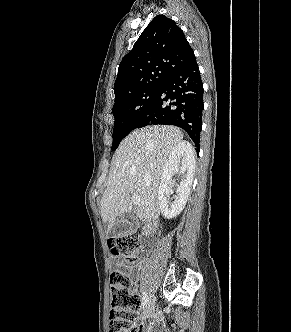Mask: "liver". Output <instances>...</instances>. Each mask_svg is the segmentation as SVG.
Here are the masks:
<instances>
[{
	"instance_id": "6515ba94",
	"label": "liver",
	"mask_w": 291,
	"mask_h": 332,
	"mask_svg": "<svg viewBox=\"0 0 291 332\" xmlns=\"http://www.w3.org/2000/svg\"><path fill=\"white\" fill-rule=\"evenodd\" d=\"M183 133L173 126H147L134 130L118 147L101 199V216L108 223L107 234L115 220L130 212L133 205L140 220L159 217L158 190L169 154L182 142ZM133 196L140 198L134 204Z\"/></svg>"
}]
</instances>
